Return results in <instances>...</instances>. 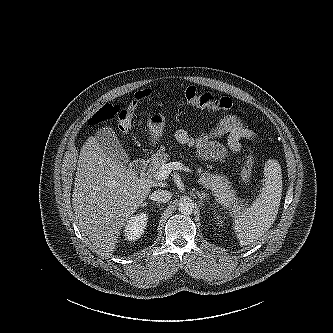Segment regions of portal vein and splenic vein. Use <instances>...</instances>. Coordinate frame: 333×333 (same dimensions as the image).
<instances>
[{
	"instance_id": "18ae733b",
	"label": "portal vein and splenic vein",
	"mask_w": 333,
	"mask_h": 333,
	"mask_svg": "<svg viewBox=\"0 0 333 333\" xmlns=\"http://www.w3.org/2000/svg\"><path fill=\"white\" fill-rule=\"evenodd\" d=\"M184 170V166L180 162H169L161 166L160 170L156 173L154 178L157 181L165 180L168 178L172 170Z\"/></svg>"
}]
</instances>
